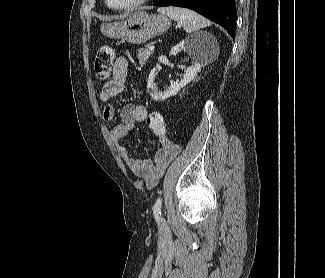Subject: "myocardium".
Wrapping results in <instances>:
<instances>
[{
    "label": "myocardium",
    "mask_w": 325,
    "mask_h": 278,
    "mask_svg": "<svg viewBox=\"0 0 325 278\" xmlns=\"http://www.w3.org/2000/svg\"><path fill=\"white\" fill-rule=\"evenodd\" d=\"M148 1L149 0H135L132 3H129V4H126V5H123V6H114V5H111L110 2H109V0H105V3L107 4V6L110 9L117 10V11H122V10H130V9L137 8V7L145 4Z\"/></svg>",
    "instance_id": "obj_1"
}]
</instances>
